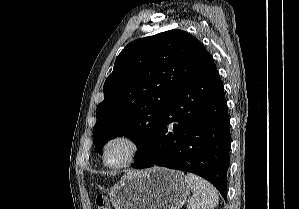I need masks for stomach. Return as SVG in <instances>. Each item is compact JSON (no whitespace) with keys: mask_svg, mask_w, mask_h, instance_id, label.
I'll list each match as a JSON object with an SVG mask.
<instances>
[{"mask_svg":"<svg viewBox=\"0 0 299 209\" xmlns=\"http://www.w3.org/2000/svg\"><path fill=\"white\" fill-rule=\"evenodd\" d=\"M107 191L114 209H180L190 193L185 174L178 170L154 167L132 171Z\"/></svg>","mask_w":299,"mask_h":209,"instance_id":"obj_1","label":"stomach"}]
</instances>
